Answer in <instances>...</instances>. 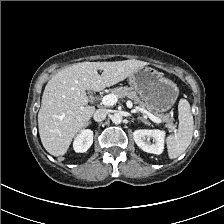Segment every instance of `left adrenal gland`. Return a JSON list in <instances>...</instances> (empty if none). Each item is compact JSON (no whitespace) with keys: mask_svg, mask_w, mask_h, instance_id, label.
<instances>
[{"mask_svg":"<svg viewBox=\"0 0 224 224\" xmlns=\"http://www.w3.org/2000/svg\"><path fill=\"white\" fill-rule=\"evenodd\" d=\"M138 120L142 121V122L145 123V124H150L148 121H146V120L143 119V118H138Z\"/></svg>","mask_w":224,"mask_h":224,"instance_id":"a2214340","label":"left adrenal gland"}]
</instances>
